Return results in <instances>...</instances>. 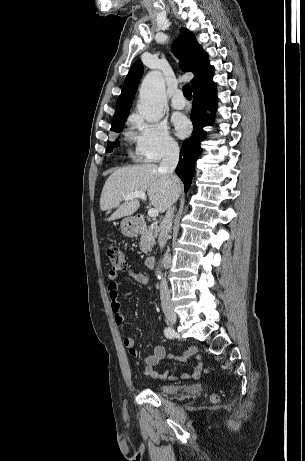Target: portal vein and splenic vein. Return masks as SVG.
I'll return each mask as SVG.
<instances>
[{
  "label": "portal vein and splenic vein",
  "mask_w": 305,
  "mask_h": 461,
  "mask_svg": "<svg viewBox=\"0 0 305 461\" xmlns=\"http://www.w3.org/2000/svg\"><path fill=\"white\" fill-rule=\"evenodd\" d=\"M135 198H140V199H142L144 201L147 199L145 192H141V191H136V192L130 193L128 195H125L123 197V199L125 201H129V200H132V199H135ZM148 216L151 217V218L157 217L158 216V210L156 208H150L148 210Z\"/></svg>",
  "instance_id": "1"
}]
</instances>
